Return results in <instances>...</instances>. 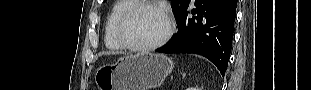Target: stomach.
<instances>
[{
	"label": "stomach",
	"instance_id": "1",
	"mask_svg": "<svg viewBox=\"0 0 311 90\" xmlns=\"http://www.w3.org/2000/svg\"><path fill=\"white\" fill-rule=\"evenodd\" d=\"M172 60L163 54L142 52L98 68V90H149L160 86L172 72Z\"/></svg>",
	"mask_w": 311,
	"mask_h": 90
}]
</instances>
